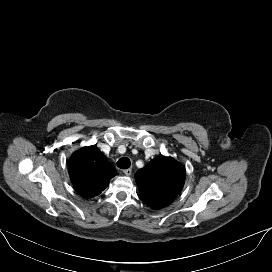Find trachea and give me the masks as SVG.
Here are the masks:
<instances>
[{"label": "trachea", "mask_w": 272, "mask_h": 272, "mask_svg": "<svg viewBox=\"0 0 272 272\" xmlns=\"http://www.w3.org/2000/svg\"><path fill=\"white\" fill-rule=\"evenodd\" d=\"M130 165H131L130 159L127 157L120 158L117 161V166L120 169H128L130 167Z\"/></svg>", "instance_id": "3493384b"}]
</instances>
